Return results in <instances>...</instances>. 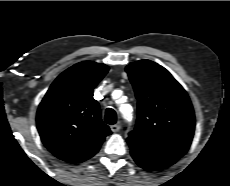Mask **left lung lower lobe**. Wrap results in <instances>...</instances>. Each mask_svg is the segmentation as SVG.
Returning a JSON list of instances; mask_svg holds the SVG:
<instances>
[{"label":"left lung lower lobe","mask_w":230,"mask_h":186,"mask_svg":"<svg viewBox=\"0 0 230 186\" xmlns=\"http://www.w3.org/2000/svg\"><path fill=\"white\" fill-rule=\"evenodd\" d=\"M131 155L140 167L149 171L163 169L176 162L168 158L142 154L134 149H131Z\"/></svg>","instance_id":"0a47b994"}]
</instances>
